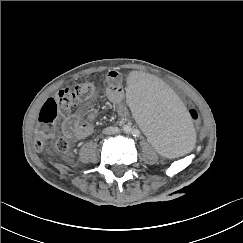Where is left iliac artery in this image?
Masks as SVG:
<instances>
[{
	"label": "left iliac artery",
	"instance_id": "44dca946",
	"mask_svg": "<svg viewBox=\"0 0 243 243\" xmlns=\"http://www.w3.org/2000/svg\"><path fill=\"white\" fill-rule=\"evenodd\" d=\"M132 134L133 136H137L139 134V131L137 129H133Z\"/></svg>",
	"mask_w": 243,
	"mask_h": 243
}]
</instances>
